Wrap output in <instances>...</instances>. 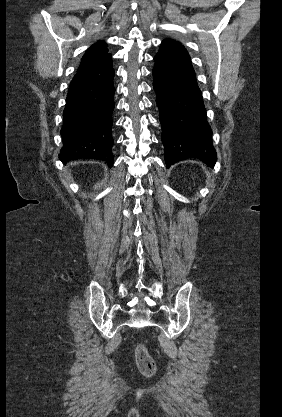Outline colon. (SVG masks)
<instances>
[{
  "mask_svg": "<svg viewBox=\"0 0 282 417\" xmlns=\"http://www.w3.org/2000/svg\"><path fill=\"white\" fill-rule=\"evenodd\" d=\"M134 358L138 369L145 375H152L156 371V363L143 343H138L134 350Z\"/></svg>",
  "mask_w": 282,
  "mask_h": 417,
  "instance_id": "obj_1",
  "label": "colon"
}]
</instances>
